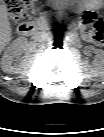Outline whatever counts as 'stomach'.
Wrapping results in <instances>:
<instances>
[{
    "instance_id": "0dacf381",
    "label": "stomach",
    "mask_w": 104,
    "mask_h": 137,
    "mask_svg": "<svg viewBox=\"0 0 104 137\" xmlns=\"http://www.w3.org/2000/svg\"><path fill=\"white\" fill-rule=\"evenodd\" d=\"M91 0H54L57 8H64L67 6H74L76 9L87 8Z\"/></svg>"
}]
</instances>
